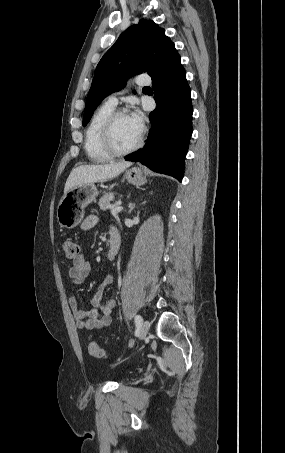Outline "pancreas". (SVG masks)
Listing matches in <instances>:
<instances>
[{
  "instance_id": "obj_1",
  "label": "pancreas",
  "mask_w": 285,
  "mask_h": 453,
  "mask_svg": "<svg viewBox=\"0 0 285 453\" xmlns=\"http://www.w3.org/2000/svg\"><path fill=\"white\" fill-rule=\"evenodd\" d=\"M114 200V193H106L102 196L98 202V206L101 210H107L112 208L110 201Z\"/></svg>"
}]
</instances>
